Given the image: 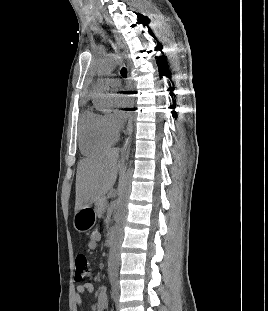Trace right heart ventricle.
<instances>
[{
  "label": "right heart ventricle",
  "mask_w": 268,
  "mask_h": 311,
  "mask_svg": "<svg viewBox=\"0 0 268 311\" xmlns=\"http://www.w3.org/2000/svg\"><path fill=\"white\" fill-rule=\"evenodd\" d=\"M117 131L111 128L106 115L85 110L79 119V146L86 155L99 153L117 140Z\"/></svg>",
  "instance_id": "obj_1"
}]
</instances>
